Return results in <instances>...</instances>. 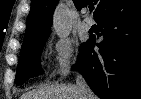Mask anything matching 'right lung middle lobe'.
I'll return each instance as SVG.
<instances>
[{
	"mask_svg": "<svg viewBox=\"0 0 141 99\" xmlns=\"http://www.w3.org/2000/svg\"><path fill=\"white\" fill-rule=\"evenodd\" d=\"M47 38L48 36L22 45L16 74L17 85L24 83L28 78L35 77L40 73V54Z\"/></svg>",
	"mask_w": 141,
	"mask_h": 99,
	"instance_id": "obj_1",
	"label": "right lung middle lobe"
}]
</instances>
